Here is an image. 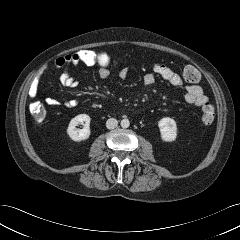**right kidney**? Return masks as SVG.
Returning a JSON list of instances; mask_svg holds the SVG:
<instances>
[{
    "label": "right kidney",
    "mask_w": 240,
    "mask_h": 240,
    "mask_svg": "<svg viewBox=\"0 0 240 240\" xmlns=\"http://www.w3.org/2000/svg\"><path fill=\"white\" fill-rule=\"evenodd\" d=\"M90 121L91 118L87 114H79L71 119L69 126L67 128V134L71 140L75 142H80L88 139L90 137ZM78 124H82L83 128H76Z\"/></svg>",
    "instance_id": "right-kidney-1"
}]
</instances>
